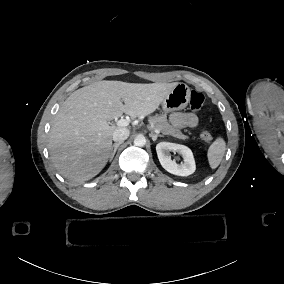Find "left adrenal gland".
I'll return each mask as SVG.
<instances>
[{"instance_id":"1","label":"left adrenal gland","mask_w":284,"mask_h":284,"mask_svg":"<svg viewBox=\"0 0 284 284\" xmlns=\"http://www.w3.org/2000/svg\"><path fill=\"white\" fill-rule=\"evenodd\" d=\"M150 137H152L153 141L157 140V137H164V135L161 134H155L153 130H151V133L149 134Z\"/></svg>"}]
</instances>
